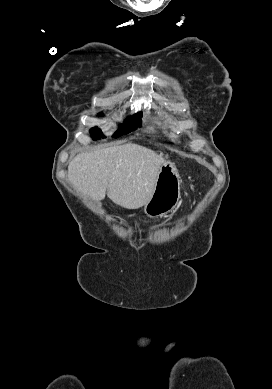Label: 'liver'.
<instances>
[{
    "label": "liver",
    "mask_w": 272,
    "mask_h": 389,
    "mask_svg": "<svg viewBox=\"0 0 272 389\" xmlns=\"http://www.w3.org/2000/svg\"><path fill=\"white\" fill-rule=\"evenodd\" d=\"M163 163V154L126 143L78 154L69 162L68 179L95 201L107 192L115 204L138 209L151 198Z\"/></svg>",
    "instance_id": "obj_1"
}]
</instances>
